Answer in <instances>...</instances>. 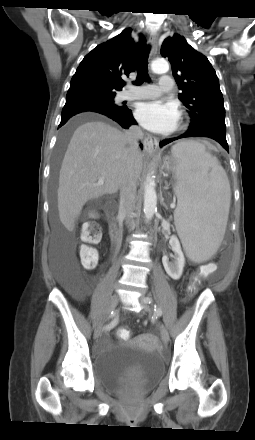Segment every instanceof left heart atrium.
I'll return each instance as SVG.
<instances>
[{
  "label": "left heart atrium",
  "instance_id": "1",
  "mask_svg": "<svg viewBox=\"0 0 255 440\" xmlns=\"http://www.w3.org/2000/svg\"><path fill=\"white\" fill-rule=\"evenodd\" d=\"M135 115L143 127L156 133L172 131L179 119V112L173 103L160 101L140 104Z\"/></svg>",
  "mask_w": 255,
  "mask_h": 440
}]
</instances>
